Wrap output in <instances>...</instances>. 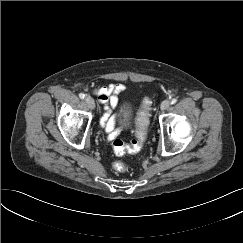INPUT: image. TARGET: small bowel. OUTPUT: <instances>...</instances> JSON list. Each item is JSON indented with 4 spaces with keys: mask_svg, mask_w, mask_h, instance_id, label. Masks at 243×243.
Returning a JSON list of instances; mask_svg holds the SVG:
<instances>
[{
    "mask_svg": "<svg viewBox=\"0 0 243 243\" xmlns=\"http://www.w3.org/2000/svg\"><path fill=\"white\" fill-rule=\"evenodd\" d=\"M125 89V85L121 83H111L107 86L95 89L98 101L104 105L106 110L101 119V125L105 129L109 140L117 137L122 131V128H115L118 115H112L111 113L119 106L120 101L118 95L124 92Z\"/></svg>",
    "mask_w": 243,
    "mask_h": 243,
    "instance_id": "obj_1",
    "label": "small bowel"
}]
</instances>
